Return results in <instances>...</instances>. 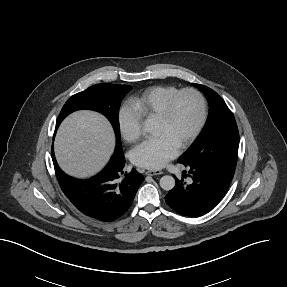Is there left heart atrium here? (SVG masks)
Segmentation results:
<instances>
[{"label":"left heart atrium","instance_id":"left-heart-atrium-1","mask_svg":"<svg viewBox=\"0 0 287 287\" xmlns=\"http://www.w3.org/2000/svg\"><path fill=\"white\" fill-rule=\"evenodd\" d=\"M178 154V147L166 136L149 139L132 153L133 162L143 168L157 170Z\"/></svg>","mask_w":287,"mask_h":287}]
</instances>
